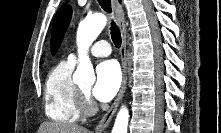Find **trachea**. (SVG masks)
<instances>
[{
    "label": "trachea",
    "instance_id": "trachea-1",
    "mask_svg": "<svg viewBox=\"0 0 221 133\" xmlns=\"http://www.w3.org/2000/svg\"><path fill=\"white\" fill-rule=\"evenodd\" d=\"M99 4L101 5L102 9L105 10L108 13H111V1L110 0H98ZM111 38L114 43V45L117 48H120L121 46V33L115 24V22L111 23Z\"/></svg>",
    "mask_w": 221,
    "mask_h": 133
}]
</instances>
